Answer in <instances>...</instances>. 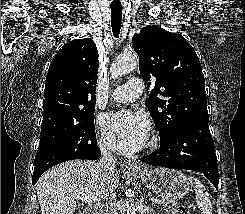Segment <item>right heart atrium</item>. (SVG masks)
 Segmentation results:
<instances>
[{
  "mask_svg": "<svg viewBox=\"0 0 245 214\" xmlns=\"http://www.w3.org/2000/svg\"><path fill=\"white\" fill-rule=\"evenodd\" d=\"M99 145H100L103 152H108L107 146L102 139L99 140Z\"/></svg>",
  "mask_w": 245,
  "mask_h": 214,
  "instance_id": "right-heart-atrium-1",
  "label": "right heart atrium"
}]
</instances>
